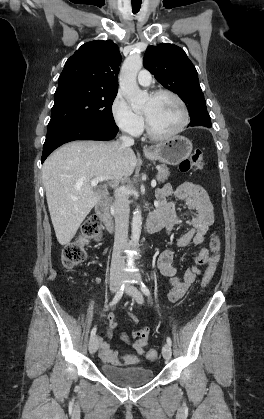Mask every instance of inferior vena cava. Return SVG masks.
Segmentation results:
<instances>
[{
    "label": "inferior vena cava",
    "instance_id": "602c4592",
    "mask_svg": "<svg viewBox=\"0 0 264 419\" xmlns=\"http://www.w3.org/2000/svg\"><path fill=\"white\" fill-rule=\"evenodd\" d=\"M120 140L124 146L134 144V139L129 136H121ZM114 196L115 240L111 268L112 270H121L125 264L121 251L127 245L130 208L127 203V192L124 187L116 188Z\"/></svg>",
    "mask_w": 264,
    "mask_h": 419
}]
</instances>
